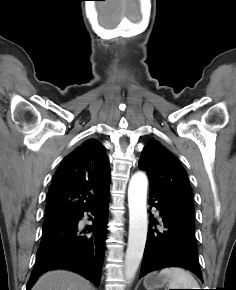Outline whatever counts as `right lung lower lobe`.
<instances>
[{
	"instance_id": "98d812e1",
	"label": "right lung lower lobe",
	"mask_w": 236,
	"mask_h": 290,
	"mask_svg": "<svg viewBox=\"0 0 236 290\" xmlns=\"http://www.w3.org/2000/svg\"><path fill=\"white\" fill-rule=\"evenodd\" d=\"M108 193L103 199L69 219L43 229L36 262L27 283V290L37 278L51 269H68L77 272L99 286L108 223ZM85 211L94 215L93 225L81 230L78 227Z\"/></svg>"
}]
</instances>
